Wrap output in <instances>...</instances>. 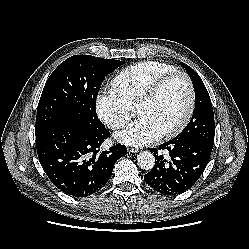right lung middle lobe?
<instances>
[{"mask_svg": "<svg viewBox=\"0 0 249 249\" xmlns=\"http://www.w3.org/2000/svg\"><path fill=\"white\" fill-rule=\"evenodd\" d=\"M123 61L75 55L62 62L48 78L36 116L35 134L69 123L104 129L96 114V98L106 75Z\"/></svg>", "mask_w": 249, "mask_h": 249, "instance_id": "right-lung-middle-lobe-1", "label": "right lung middle lobe"}]
</instances>
